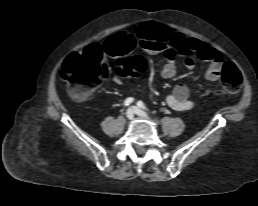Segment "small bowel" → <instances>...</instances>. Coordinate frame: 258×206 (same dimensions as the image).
<instances>
[{
  "label": "small bowel",
  "instance_id": "small-bowel-1",
  "mask_svg": "<svg viewBox=\"0 0 258 206\" xmlns=\"http://www.w3.org/2000/svg\"><path fill=\"white\" fill-rule=\"evenodd\" d=\"M162 32L154 36H147L137 31L139 42L143 50L150 54H162L165 64L162 67L161 75L164 78H172L176 74V57L180 53L184 56V66L188 70L195 67V59L209 62L206 77L211 81H217L221 76L224 59L220 52L202 41L195 38H187L181 33H172L168 28L159 26ZM147 28H144V30ZM135 43V37L129 33H117L109 37L105 43L89 45L86 49L98 47L102 53L117 58L128 53ZM191 54V55H190ZM120 84L121 80L116 77L113 80ZM189 88L185 84H177L172 92L166 97V104L176 111H187L192 109L196 102L189 98Z\"/></svg>",
  "mask_w": 258,
  "mask_h": 206
}]
</instances>
